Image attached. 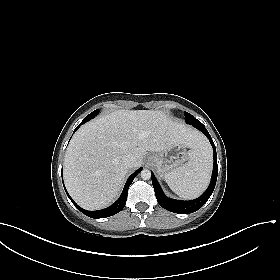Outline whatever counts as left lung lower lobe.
Here are the masks:
<instances>
[{"mask_svg": "<svg viewBox=\"0 0 280 280\" xmlns=\"http://www.w3.org/2000/svg\"><path fill=\"white\" fill-rule=\"evenodd\" d=\"M194 127L198 128L200 131H202L207 138L209 139L212 147H213V152H214V166H213V173L211 177V182L207 190L197 199L195 200H190V201H180V200H174L170 199L165 196L163 193L158 181L156 180L154 174L152 173V184L155 190V195L157 198L158 203L166 210L174 212V213H179V214H189L197 211L200 209L209 199L211 196L216 180H217V175H218V166H217V154H216V149L215 145L213 143V140L211 139L210 134L208 133L207 129L202 123H197L193 125Z\"/></svg>", "mask_w": 280, "mask_h": 280, "instance_id": "0a47b994", "label": "left lung lower lobe"}]
</instances>
